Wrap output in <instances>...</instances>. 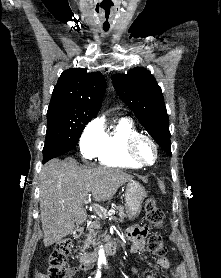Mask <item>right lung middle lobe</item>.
I'll use <instances>...</instances> for the list:
<instances>
[{"label": "right lung middle lobe", "mask_w": 221, "mask_h": 278, "mask_svg": "<svg viewBox=\"0 0 221 278\" xmlns=\"http://www.w3.org/2000/svg\"><path fill=\"white\" fill-rule=\"evenodd\" d=\"M47 133L43 148V159L50 160L72 148L90 120L87 117L67 118L62 115H47Z\"/></svg>", "instance_id": "1"}]
</instances>
